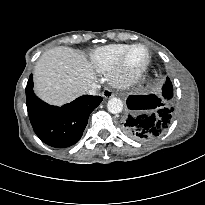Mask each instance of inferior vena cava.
<instances>
[{
    "mask_svg": "<svg viewBox=\"0 0 205 205\" xmlns=\"http://www.w3.org/2000/svg\"><path fill=\"white\" fill-rule=\"evenodd\" d=\"M98 89H99V85H97L96 83H92L90 89L88 90V94L95 95Z\"/></svg>",
    "mask_w": 205,
    "mask_h": 205,
    "instance_id": "1",
    "label": "inferior vena cava"
}]
</instances>
